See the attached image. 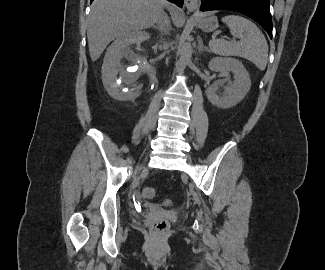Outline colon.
Segmentation results:
<instances>
[{
	"label": "colon",
	"mask_w": 325,
	"mask_h": 270,
	"mask_svg": "<svg viewBox=\"0 0 325 270\" xmlns=\"http://www.w3.org/2000/svg\"><path fill=\"white\" fill-rule=\"evenodd\" d=\"M156 196V190L152 187H146L143 190V197L146 199H152ZM167 204H170V201H167ZM169 229V222L165 219H159L155 221L152 225V230L155 233H165Z\"/></svg>",
	"instance_id": "5ec220e1"
}]
</instances>
